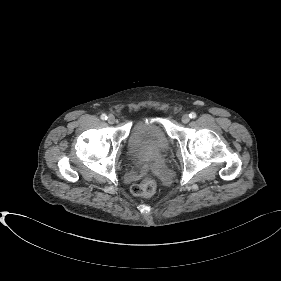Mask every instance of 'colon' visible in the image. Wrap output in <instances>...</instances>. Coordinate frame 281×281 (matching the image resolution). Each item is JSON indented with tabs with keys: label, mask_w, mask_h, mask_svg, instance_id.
Returning <instances> with one entry per match:
<instances>
[{
	"label": "colon",
	"mask_w": 281,
	"mask_h": 281,
	"mask_svg": "<svg viewBox=\"0 0 281 281\" xmlns=\"http://www.w3.org/2000/svg\"><path fill=\"white\" fill-rule=\"evenodd\" d=\"M156 186L154 176H147L142 183L131 187V194L134 197H144L153 193Z\"/></svg>",
	"instance_id": "5ec220e1"
}]
</instances>
